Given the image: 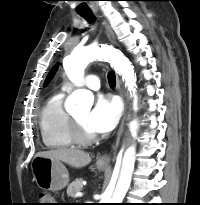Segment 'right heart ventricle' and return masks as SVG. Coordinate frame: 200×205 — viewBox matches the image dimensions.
<instances>
[{
    "mask_svg": "<svg viewBox=\"0 0 200 205\" xmlns=\"http://www.w3.org/2000/svg\"><path fill=\"white\" fill-rule=\"evenodd\" d=\"M63 92L53 94L39 114L42 141L47 148L65 149L73 145L69 128V115L63 108Z\"/></svg>",
    "mask_w": 200,
    "mask_h": 205,
    "instance_id": "obj_1",
    "label": "right heart ventricle"
}]
</instances>
